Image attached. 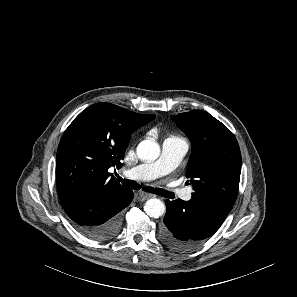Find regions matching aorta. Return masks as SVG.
<instances>
[{
	"label": "aorta",
	"instance_id": "obj_1",
	"mask_svg": "<svg viewBox=\"0 0 297 297\" xmlns=\"http://www.w3.org/2000/svg\"><path fill=\"white\" fill-rule=\"evenodd\" d=\"M137 155L143 161H154L160 155L158 143L152 140H143L137 146ZM144 211L149 217L159 218L165 212V204L157 198L146 201Z\"/></svg>",
	"mask_w": 297,
	"mask_h": 297
}]
</instances>
